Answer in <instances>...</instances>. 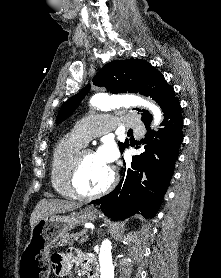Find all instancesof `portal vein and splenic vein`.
Here are the masks:
<instances>
[{"mask_svg": "<svg viewBox=\"0 0 221 278\" xmlns=\"http://www.w3.org/2000/svg\"><path fill=\"white\" fill-rule=\"evenodd\" d=\"M89 238L88 235H86L85 240L83 239L82 242L86 241Z\"/></svg>", "mask_w": 221, "mask_h": 278, "instance_id": "portal-vein-and-splenic-vein-1", "label": "portal vein and splenic vein"}]
</instances>
